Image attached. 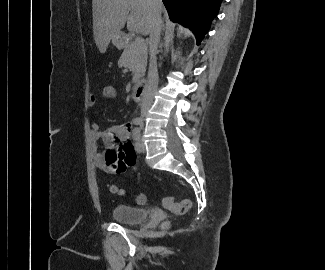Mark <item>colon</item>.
<instances>
[{"mask_svg":"<svg viewBox=\"0 0 325 270\" xmlns=\"http://www.w3.org/2000/svg\"><path fill=\"white\" fill-rule=\"evenodd\" d=\"M102 96L106 100H114L117 97V90L114 85L107 84L102 88ZM110 191L118 195H124L125 191L118 188L117 186H110ZM136 202L138 204H145L147 202V196L143 193H138L135 195ZM163 207L170 212L182 215L187 213L192 206V203L189 199H184L181 201L176 200L174 197H165L162 201ZM164 226H168V223H165Z\"/></svg>","mask_w":325,"mask_h":270,"instance_id":"colon-1","label":"colon"}]
</instances>
